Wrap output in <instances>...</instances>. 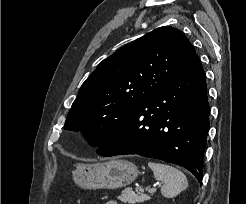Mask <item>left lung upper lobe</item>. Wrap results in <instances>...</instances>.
<instances>
[{"mask_svg":"<svg viewBox=\"0 0 246 204\" xmlns=\"http://www.w3.org/2000/svg\"><path fill=\"white\" fill-rule=\"evenodd\" d=\"M196 54L179 30L164 26L104 59L82 84L65 129L80 130L100 146L143 100Z\"/></svg>","mask_w":246,"mask_h":204,"instance_id":"5c2ea615","label":"left lung upper lobe"}]
</instances>
